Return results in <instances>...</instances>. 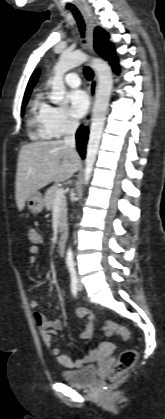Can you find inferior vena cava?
I'll return each mask as SVG.
<instances>
[{
    "label": "inferior vena cava",
    "instance_id": "1",
    "mask_svg": "<svg viewBox=\"0 0 165 419\" xmlns=\"http://www.w3.org/2000/svg\"><path fill=\"white\" fill-rule=\"evenodd\" d=\"M79 126V122L73 118H70L67 123L66 133L64 137V144L69 148L75 150V133Z\"/></svg>",
    "mask_w": 165,
    "mask_h": 419
}]
</instances>
